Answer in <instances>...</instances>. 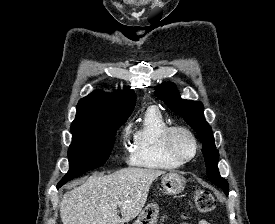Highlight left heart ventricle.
Instances as JSON below:
<instances>
[{"mask_svg":"<svg viewBox=\"0 0 275 224\" xmlns=\"http://www.w3.org/2000/svg\"><path fill=\"white\" fill-rule=\"evenodd\" d=\"M174 146L177 151L183 155H189L193 152L191 140L184 134H177L174 138Z\"/></svg>","mask_w":275,"mask_h":224,"instance_id":"left-heart-ventricle-1","label":"left heart ventricle"}]
</instances>
